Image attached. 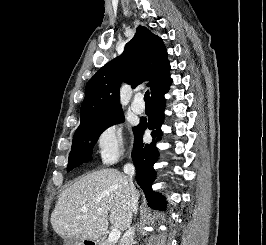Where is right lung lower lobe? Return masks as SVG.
Listing matches in <instances>:
<instances>
[{
    "label": "right lung lower lobe",
    "mask_w": 266,
    "mask_h": 245,
    "mask_svg": "<svg viewBox=\"0 0 266 245\" xmlns=\"http://www.w3.org/2000/svg\"><path fill=\"white\" fill-rule=\"evenodd\" d=\"M170 84V83H169ZM169 84L161 91L151 97L152 113L148 120H141L140 124L134 128L135 140L134 149L132 152V159L136 167V181L143 189L148 205L164 209V199L156 192L152 191L151 185L155 179V171L153 164L157 160L158 150L155 143L159 141L162 131L160 129L164 119V93L167 92ZM152 130L151 136L153 143L144 144L142 142V135L146 129Z\"/></svg>",
    "instance_id": "obj_1"
}]
</instances>
